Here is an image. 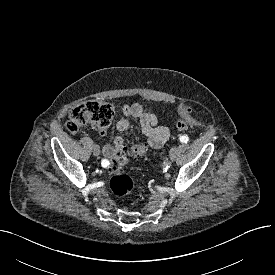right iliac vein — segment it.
<instances>
[{"label":"right iliac vein","mask_w":275,"mask_h":275,"mask_svg":"<svg viewBox=\"0 0 275 275\" xmlns=\"http://www.w3.org/2000/svg\"><path fill=\"white\" fill-rule=\"evenodd\" d=\"M93 154H94L95 156H99V155H100V148H99L98 145H94V146H93Z\"/></svg>","instance_id":"63e3f726"}]
</instances>
